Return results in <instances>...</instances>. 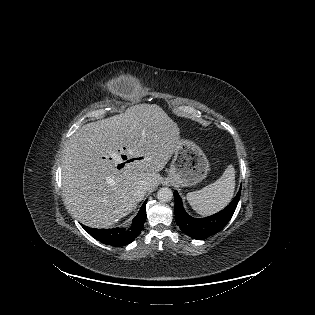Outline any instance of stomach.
<instances>
[{
	"instance_id": "0dacf381",
	"label": "stomach",
	"mask_w": 315,
	"mask_h": 315,
	"mask_svg": "<svg viewBox=\"0 0 315 315\" xmlns=\"http://www.w3.org/2000/svg\"><path fill=\"white\" fill-rule=\"evenodd\" d=\"M181 144L169 169V179L187 187L201 182L209 170V162L201 148L188 139H180Z\"/></svg>"
}]
</instances>
